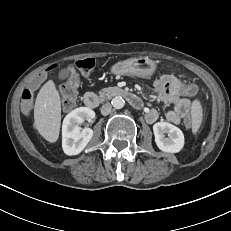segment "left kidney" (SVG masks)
Returning a JSON list of instances; mask_svg holds the SVG:
<instances>
[{"label": "left kidney", "instance_id": "1", "mask_svg": "<svg viewBox=\"0 0 231 231\" xmlns=\"http://www.w3.org/2000/svg\"><path fill=\"white\" fill-rule=\"evenodd\" d=\"M157 147L167 153H178L184 146V134L176 126L168 122H158L153 125ZM165 134L168 137H165Z\"/></svg>", "mask_w": 231, "mask_h": 231}]
</instances>
